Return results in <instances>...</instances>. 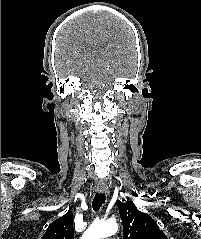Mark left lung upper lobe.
Segmentation results:
<instances>
[{
    "label": "left lung upper lobe",
    "mask_w": 201,
    "mask_h": 239,
    "mask_svg": "<svg viewBox=\"0 0 201 239\" xmlns=\"http://www.w3.org/2000/svg\"><path fill=\"white\" fill-rule=\"evenodd\" d=\"M124 239H168L155 221L131 201L119 203Z\"/></svg>",
    "instance_id": "left-lung-upper-lobe-1"
}]
</instances>
